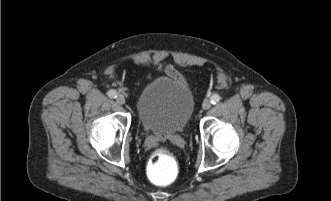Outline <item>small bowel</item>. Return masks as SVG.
I'll list each match as a JSON object with an SVG mask.
<instances>
[{
	"instance_id": "1",
	"label": "small bowel",
	"mask_w": 331,
	"mask_h": 201,
	"mask_svg": "<svg viewBox=\"0 0 331 201\" xmlns=\"http://www.w3.org/2000/svg\"><path fill=\"white\" fill-rule=\"evenodd\" d=\"M161 71H163L166 75L169 77L180 80L184 82V77L173 67V66H166L165 68H160Z\"/></svg>"
}]
</instances>
